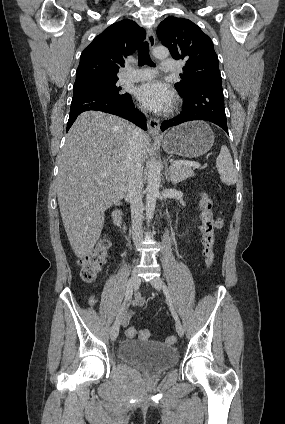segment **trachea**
<instances>
[{
    "instance_id": "obj_1",
    "label": "trachea",
    "mask_w": 285,
    "mask_h": 424,
    "mask_svg": "<svg viewBox=\"0 0 285 424\" xmlns=\"http://www.w3.org/2000/svg\"><path fill=\"white\" fill-rule=\"evenodd\" d=\"M138 64L155 66L149 56V44L148 42H142L138 48Z\"/></svg>"
}]
</instances>
